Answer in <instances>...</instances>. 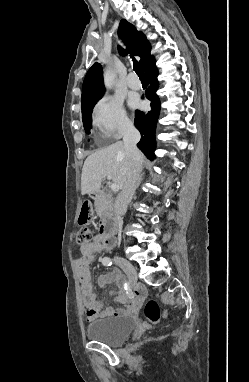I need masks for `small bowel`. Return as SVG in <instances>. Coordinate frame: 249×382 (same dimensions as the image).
Returning <instances> with one entry per match:
<instances>
[{"mask_svg": "<svg viewBox=\"0 0 249 382\" xmlns=\"http://www.w3.org/2000/svg\"><path fill=\"white\" fill-rule=\"evenodd\" d=\"M116 245L113 238L104 236L101 232L90 239V241L80 246L81 255L74 260V266L80 283L82 304L87 322H93L99 317L122 316L125 314H136L141 303V298L145 294L142 285L135 288L136 297L128 301L124 289L125 279L118 271H112L101 275L98 278V284L105 287L114 284L117 287V300L124 304V308L114 309L111 307L103 308L102 303L98 300L97 293L92 283V275L90 264L94 260L97 253L104 249H112Z\"/></svg>", "mask_w": 249, "mask_h": 382, "instance_id": "small-bowel-1", "label": "small bowel"}]
</instances>
